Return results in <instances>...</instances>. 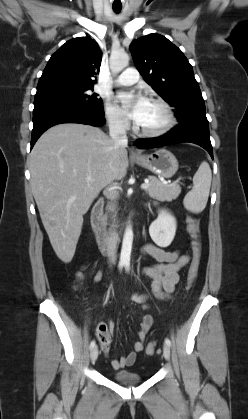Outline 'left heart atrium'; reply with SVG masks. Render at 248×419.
Masks as SVG:
<instances>
[{
	"label": "left heart atrium",
	"mask_w": 248,
	"mask_h": 419,
	"mask_svg": "<svg viewBox=\"0 0 248 419\" xmlns=\"http://www.w3.org/2000/svg\"><path fill=\"white\" fill-rule=\"evenodd\" d=\"M117 100L126 105V113L136 123L140 122L144 116L148 99L139 94L121 93Z\"/></svg>",
	"instance_id": "obj_1"
}]
</instances>
